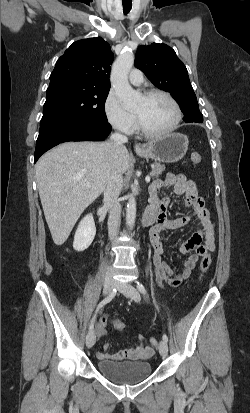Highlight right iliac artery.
I'll use <instances>...</instances> for the list:
<instances>
[{
	"instance_id": "obj_1",
	"label": "right iliac artery",
	"mask_w": 250,
	"mask_h": 413,
	"mask_svg": "<svg viewBox=\"0 0 250 413\" xmlns=\"http://www.w3.org/2000/svg\"><path fill=\"white\" fill-rule=\"evenodd\" d=\"M116 292H117V290H116V289H113L112 292L109 294V296L106 297L104 300H102V301L98 304V306H97V308H96V311H95V313H94V315H93V317H92V319H91V321H90L89 331H91V330L93 329V327H94V322H95V319H96L97 312H98L103 306H105L107 303H109V302L115 297Z\"/></svg>"
}]
</instances>
